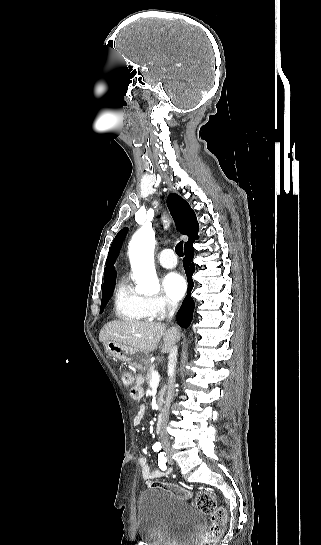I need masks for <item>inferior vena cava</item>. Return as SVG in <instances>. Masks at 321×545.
Segmentation results:
<instances>
[{"label": "inferior vena cava", "instance_id": "inferior-vena-cava-1", "mask_svg": "<svg viewBox=\"0 0 321 545\" xmlns=\"http://www.w3.org/2000/svg\"><path fill=\"white\" fill-rule=\"evenodd\" d=\"M168 305V319L169 321H172L175 311L177 309V303L176 301H170L168 299L167 301ZM177 347H173L170 351L169 355V361H168V369L170 371V377L168 379V387H167V395H166V401L164 405V411L161 419V427H160V441L162 443V448L164 450H169L171 448V442L169 441V435L167 433V425L169 421V409L171 407V403L173 401V397L175 395V377H176V365H177Z\"/></svg>", "mask_w": 321, "mask_h": 545}]
</instances>
